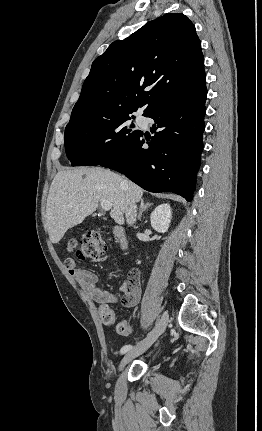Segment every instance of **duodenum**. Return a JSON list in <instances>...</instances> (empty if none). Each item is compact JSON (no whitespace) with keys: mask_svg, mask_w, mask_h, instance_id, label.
I'll return each instance as SVG.
<instances>
[{"mask_svg":"<svg viewBox=\"0 0 262 431\" xmlns=\"http://www.w3.org/2000/svg\"><path fill=\"white\" fill-rule=\"evenodd\" d=\"M113 234L119 241L120 245L123 248H126V237H125L124 228L121 225H115L113 227Z\"/></svg>","mask_w":262,"mask_h":431,"instance_id":"obj_1","label":"duodenum"}]
</instances>
